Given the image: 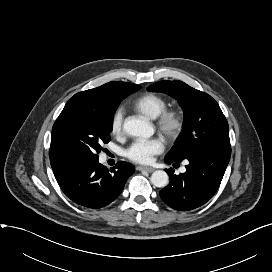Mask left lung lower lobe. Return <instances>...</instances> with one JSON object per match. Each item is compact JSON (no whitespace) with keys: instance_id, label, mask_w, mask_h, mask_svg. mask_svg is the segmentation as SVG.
Returning a JSON list of instances; mask_svg holds the SVG:
<instances>
[{"instance_id":"1","label":"left lung lower lobe","mask_w":272,"mask_h":272,"mask_svg":"<svg viewBox=\"0 0 272 272\" xmlns=\"http://www.w3.org/2000/svg\"><path fill=\"white\" fill-rule=\"evenodd\" d=\"M230 156L231 149H205L186 158L188 165L185 173L174 175L173 169H165L170 182L159 192L161 199L169 207L180 211L202 206L217 191ZM165 162L179 163L169 158H165Z\"/></svg>"}]
</instances>
